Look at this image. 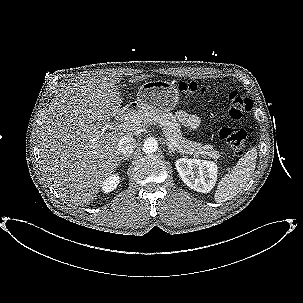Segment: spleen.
<instances>
[{
    "label": "spleen",
    "instance_id": "spleen-1",
    "mask_svg": "<svg viewBox=\"0 0 303 303\" xmlns=\"http://www.w3.org/2000/svg\"><path fill=\"white\" fill-rule=\"evenodd\" d=\"M257 159L256 147L251 148L241 157L236 166L218 183L214 194L217 203L226 202L234 198L248 183L254 173Z\"/></svg>",
    "mask_w": 303,
    "mask_h": 303
}]
</instances>
